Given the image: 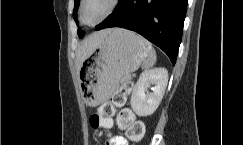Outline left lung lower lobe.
<instances>
[{
    "label": "left lung lower lobe",
    "mask_w": 243,
    "mask_h": 145,
    "mask_svg": "<svg viewBox=\"0 0 243 145\" xmlns=\"http://www.w3.org/2000/svg\"><path fill=\"white\" fill-rule=\"evenodd\" d=\"M188 0H123L101 24L100 30L121 27L141 34L176 62Z\"/></svg>",
    "instance_id": "left-lung-lower-lobe-1"
}]
</instances>
